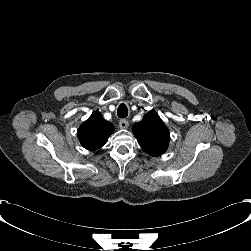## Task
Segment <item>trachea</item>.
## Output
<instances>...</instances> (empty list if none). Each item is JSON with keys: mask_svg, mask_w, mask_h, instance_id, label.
<instances>
[{"mask_svg": "<svg viewBox=\"0 0 251 251\" xmlns=\"http://www.w3.org/2000/svg\"><path fill=\"white\" fill-rule=\"evenodd\" d=\"M117 115L120 118L127 117V115H128V109H127V106L124 103H122V104L119 105L118 110H117Z\"/></svg>", "mask_w": 251, "mask_h": 251, "instance_id": "3493384b", "label": "trachea"}]
</instances>
